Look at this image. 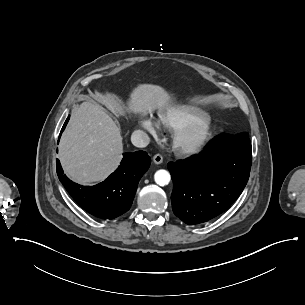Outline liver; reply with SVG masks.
<instances>
[{
  "instance_id": "liver-1",
  "label": "liver",
  "mask_w": 305,
  "mask_h": 305,
  "mask_svg": "<svg viewBox=\"0 0 305 305\" xmlns=\"http://www.w3.org/2000/svg\"><path fill=\"white\" fill-rule=\"evenodd\" d=\"M171 97L160 86L139 84L129 98V110L146 115L168 108ZM113 112L124 113L115 95L101 96ZM120 129L99 104L83 102L74 109L59 143V158L66 175L74 182L88 185L108 177L122 160Z\"/></svg>"
}]
</instances>
